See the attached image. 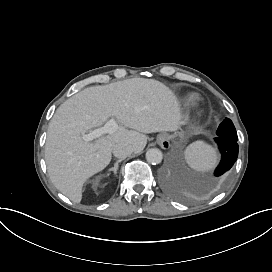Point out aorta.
I'll use <instances>...</instances> for the list:
<instances>
[{
    "mask_svg": "<svg viewBox=\"0 0 272 272\" xmlns=\"http://www.w3.org/2000/svg\"><path fill=\"white\" fill-rule=\"evenodd\" d=\"M162 158V152L157 148H151L146 152V160L151 164L161 163Z\"/></svg>",
    "mask_w": 272,
    "mask_h": 272,
    "instance_id": "obj_1",
    "label": "aorta"
}]
</instances>
